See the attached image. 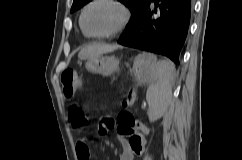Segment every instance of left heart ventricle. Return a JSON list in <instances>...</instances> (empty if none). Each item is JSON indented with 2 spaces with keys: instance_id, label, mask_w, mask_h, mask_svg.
I'll return each mask as SVG.
<instances>
[{
  "instance_id": "1",
  "label": "left heart ventricle",
  "mask_w": 242,
  "mask_h": 160,
  "mask_svg": "<svg viewBox=\"0 0 242 160\" xmlns=\"http://www.w3.org/2000/svg\"><path fill=\"white\" fill-rule=\"evenodd\" d=\"M122 21L121 10L110 3L91 6L84 17L86 29L93 34H104L117 28Z\"/></svg>"
}]
</instances>
